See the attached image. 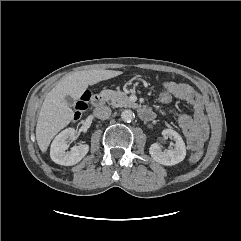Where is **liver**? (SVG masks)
Masks as SVG:
<instances>
[{"label":"liver","mask_w":241,"mask_h":241,"mask_svg":"<svg viewBox=\"0 0 241 241\" xmlns=\"http://www.w3.org/2000/svg\"><path fill=\"white\" fill-rule=\"evenodd\" d=\"M115 70H83L64 76L46 95L40 109L36 139L42 152H45L54 136L73 119L74 112L65 97L78 99L89 85L121 75Z\"/></svg>","instance_id":"liver-1"}]
</instances>
